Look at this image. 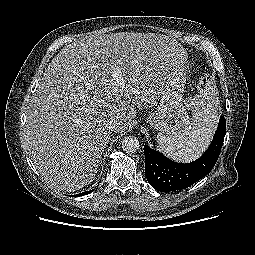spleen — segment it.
<instances>
[{
    "mask_svg": "<svg viewBox=\"0 0 255 255\" xmlns=\"http://www.w3.org/2000/svg\"><path fill=\"white\" fill-rule=\"evenodd\" d=\"M218 122L216 111L196 110L192 129L180 135H157L159 148L168 157L179 162H190L201 155L209 145Z\"/></svg>",
    "mask_w": 255,
    "mask_h": 255,
    "instance_id": "3e777b00",
    "label": "spleen"
}]
</instances>
